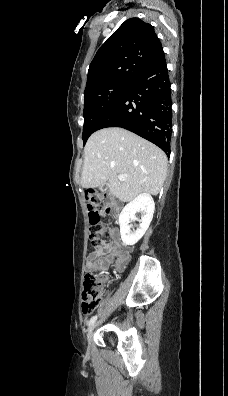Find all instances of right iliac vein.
I'll list each match as a JSON object with an SVG mask.
<instances>
[{
  "instance_id": "obj_1",
  "label": "right iliac vein",
  "mask_w": 228,
  "mask_h": 396,
  "mask_svg": "<svg viewBox=\"0 0 228 396\" xmlns=\"http://www.w3.org/2000/svg\"><path fill=\"white\" fill-rule=\"evenodd\" d=\"M96 326H97V324H93V325H91V327L89 328V331H88V334H87V341H88V343L91 342V337H92V334H93L94 329L96 328Z\"/></svg>"
}]
</instances>
